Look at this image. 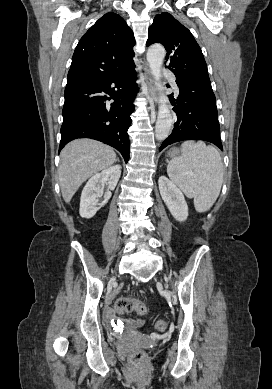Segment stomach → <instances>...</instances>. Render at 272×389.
I'll use <instances>...</instances> for the list:
<instances>
[{"label": "stomach", "instance_id": "0dacf381", "mask_svg": "<svg viewBox=\"0 0 272 389\" xmlns=\"http://www.w3.org/2000/svg\"><path fill=\"white\" fill-rule=\"evenodd\" d=\"M168 155H169L170 157H175V156L179 155V151H178L177 149H171V150L169 151Z\"/></svg>", "mask_w": 272, "mask_h": 389}]
</instances>
